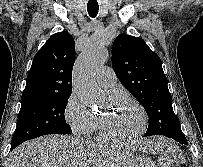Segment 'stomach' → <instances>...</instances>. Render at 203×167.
<instances>
[{"label":"stomach","instance_id":"1","mask_svg":"<svg viewBox=\"0 0 203 167\" xmlns=\"http://www.w3.org/2000/svg\"><path fill=\"white\" fill-rule=\"evenodd\" d=\"M146 151H151L145 148ZM121 167H155L153 162L145 156H132L131 159Z\"/></svg>","mask_w":203,"mask_h":167}]
</instances>
